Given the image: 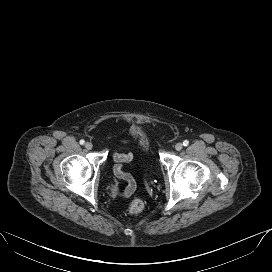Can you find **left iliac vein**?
<instances>
[{"instance_id": "left-iliac-vein-1", "label": "left iliac vein", "mask_w": 272, "mask_h": 272, "mask_svg": "<svg viewBox=\"0 0 272 272\" xmlns=\"http://www.w3.org/2000/svg\"><path fill=\"white\" fill-rule=\"evenodd\" d=\"M182 148H183V144L181 142H178V143L175 144V149L177 151H180Z\"/></svg>"}]
</instances>
